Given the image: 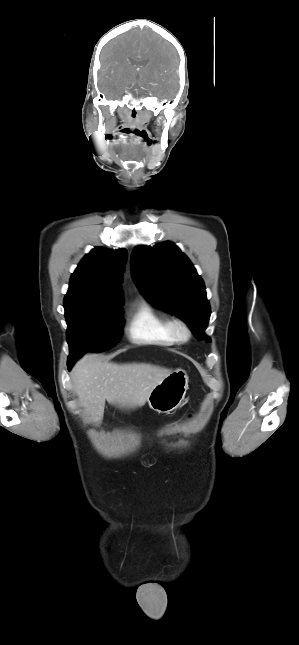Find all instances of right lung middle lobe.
Returning a JSON list of instances; mask_svg holds the SVG:
<instances>
[{"mask_svg": "<svg viewBox=\"0 0 299 645\" xmlns=\"http://www.w3.org/2000/svg\"><path fill=\"white\" fill-rule=\"evenodd\" d=\"M64 309L69 367L87 351H105L118 343L123 326L120 305L70 303L64 305Z\"/></svg>", "mask_w": 299, "mask_h": 645, "instance_id": "obj_1", "label": "right lung middle lobe"}]
</instances>
